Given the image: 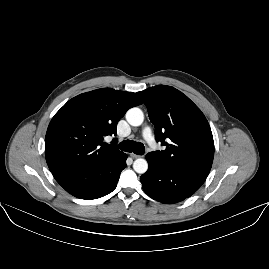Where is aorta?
Masks as SVG:
<instances>
[{
	"label": "aorta",
	"mask_w": 269,
	"mask_h": 269,
	"mask_svg": "<svg viewBox=\"0 0 269 269\" xmlns=\"http://www.w3.org/2000/svg\"><path fill=\"white\" fill-rule=\"evenodd\" d=\"M126 120L132 126H140L144 121V114L139 108H131L126 113ZM135 172L143 174L148 169V163L143 158H138L133 163Z\"/></svg>",
	"instance_id": "obj_1"
}]
</instances>
